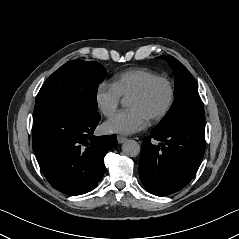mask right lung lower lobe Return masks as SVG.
Returning <instances> with one entry per match:
<instances>
[{"label": "right lung lower lobe", "mask_w": 239, "mask_h": 239, "mask_svg": "<svg viewBox=\"0 0 239 239\" xmlns=\"http://www.w3.org/2000/svg\"><path fill=\"white\" fill-rule=\"evenodd\" d=\"M100 115L61 109L37 123L32 146L48 182L68 195L95 188L104 173V156L117 145L115 135L94 136Z\"/></svg>", "instance_id": "obj_1"}]
</instances>
